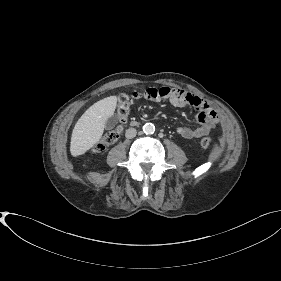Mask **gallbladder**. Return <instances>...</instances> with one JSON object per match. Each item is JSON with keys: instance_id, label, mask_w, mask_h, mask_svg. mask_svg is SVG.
<instances>
[{"instance_id": "gallbladder-1", "label": "gallbladder", "mask_w": 281, "mask_h": 281, "mask_svg": "<svg viewBox=\"0 0 281 281\" xmlns=\"http://www.w3.org/2000/svg\"><path fill=\"white\" fill-rule=\"evenodd\" d=\"M118 123V117L116 115H112L109 117L105 122V128L106 129H112L115 127V125Z\"/></svg>"}]
</instances>
